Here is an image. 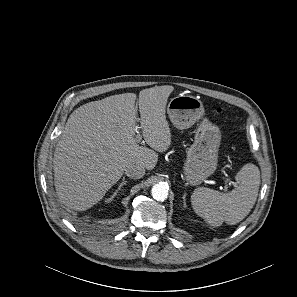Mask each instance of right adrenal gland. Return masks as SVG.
Listing matches in <instances>:
<instances>
[{
    "label": "right adrenal gland",
    "mask_w": 297,
    "mask_h": 297,
    "mask_svg": "<svg viewBox=\"0 0 297 297\" xmlns=\"http://www.w3.org/2000/svg\"><path fill=\"white\" fill-rule=\"evenodd\" d=\"M126 184H127V181L124 180V177H123V181L119 184L118 188L115 190V192L112 194L111 198H109V199L112 200L117 195V193L119 192L121 187L126 185Z\"/></svg>",
    "instance_id": "2a0ac1e0"
}]
</instances>
